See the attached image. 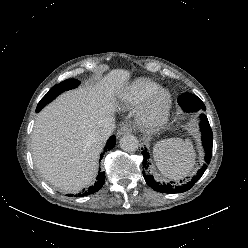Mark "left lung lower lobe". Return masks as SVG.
<instances>
[{"label":"left lung lower lobe","instance_id":"0a47b994","mask_svg":"<svg viewBox=\"0 0 248 248\" xmlns=\"http://www.w3.org/2000/svg\"><path fill=\"white\" fill-rule=\"evenodd\" d=\"M199 125L200 129L202 132V144L205 149V161L206 163L203 164L200 170H198L197 175L194 176L191 181H189L186 184H183L181 186H175L172 182L170 183H161V182H156L153 179L152 175H147L145 171H143L144 174V179L147 183L148 186H150L152 189L155 191L161 192V193H182L190 188L193 187V185L201 178L205 170L207 169V164H209L212 156V143H213V134L211 127L209 125L208 119L206 115L201 114L199 118ZM143 154V168L147 169L149 167V154L147 149H143L142 151ZM182 183V182H181Z\"/></svg>","mask_w":248,"mask_h":248}]
</instances>
